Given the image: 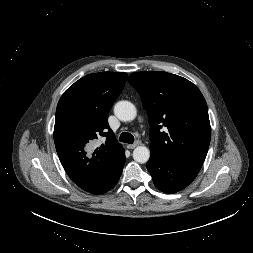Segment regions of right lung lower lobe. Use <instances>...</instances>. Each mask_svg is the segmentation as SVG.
Listing matches in <instances>:
<instances>
[{
  "mask_svg": "<svg viewBox=\"0 0 253 253\" xmlns=\"http://www.w3.org/2000/svg\"><path fill=\"white\" fill-rule=\"evenodd\" d=\"M125 163V154L120 158L114 169L111 171L105 181L94 188L90 193L92 194H103L112 189L117 181L119 180Z\"/></svg>",
  "mask_w": 253,
  "mask_h": 253,
  "instance_id": "1",
  "label": "right lung lower lobe"
}]
</instances>
